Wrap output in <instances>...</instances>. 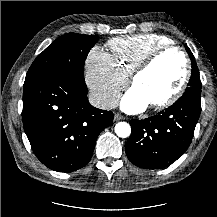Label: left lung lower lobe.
I'll return each mask as SVG.
<instances>
[{
	"instance_id": "0a47b994",
	"label": "left lung lower lobe",
	"mask_w": 217,
	"mask_h": 217,
	"mask_svg": "<svg viewBox=\"0 0 217 217\" xmlns=\"http://www.w3.org/2000/svg\"><path fill=\"white\" fill-rule=\"evenodd\" d=\"M200 112L201 98L183 95L155 116L131 120L125 144L130 162L144 169L172 164L188 149Z\"/></svg>"
}]
</instances>
